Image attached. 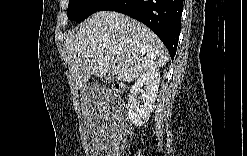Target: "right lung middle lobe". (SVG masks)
<instances>
[{"instance_id": "1", "label": "right lung middle lobe", "mask_w": 247, "mask_h": 156, "mask_svg": "<svg viewBox=\"0 0 247 156\" xmlns=\"http://www.w3.org/2000/svg\"><path fill=\"white\" fill-rule=\"evenodd\" d=\"M108 0H69L68 19L83 21L100 10Z\"/></svg>"}]
</instances>
